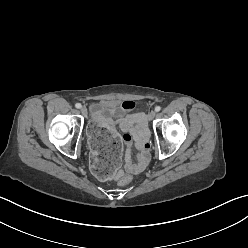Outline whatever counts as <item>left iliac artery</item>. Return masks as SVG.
Wrapping results in <instances>:
<instances>
[{
  "label": "left iliac artery",
  "instance_id": "obj_1",
  "mask_svg": "<svg viewBox=\"0 0 248 248\" xmlns=\"http://www.w3.org/2000/svg\"><path fill=\"white\" fill-rule=\"evenodd\" d=\"M160 110H161V107H160V106H156V107H155V111H156V112H159Z\"/></svg>",
  "mask_w": 248,
  "mask_h": 248
}]
</instances>
